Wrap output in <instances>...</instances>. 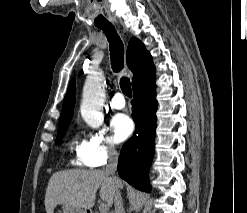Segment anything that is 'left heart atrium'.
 Wrapping results in <instances>:
<instances>
[{
    "label": "left heart atrium",
    "mask_w": 247,
    "mask_h": 213,
    "mask_svg": "<svg viewBox=\"0 0 247 213\" xmlns=\"http://www.w3.org/2000/svg\"><path fill=\"white\" fill-rule=\"evenodd\" d=\"M111 129L117 142L126 140L133 131V122L125 114H117L111 120Z\"/></svg>",
    "instance_id": "left-heart-atrium-1"
}]
</instances>
